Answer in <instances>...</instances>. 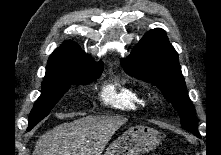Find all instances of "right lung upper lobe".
<instances>
[{
	"instance_id": "1",
	"label": "right lung upper lobe",
	"mask_w": 221,
	"mask_h": 155,
	"mask_svg": "<svg viewBox=\"0 0 221 155\" xmlns=\"http://www.w3.org/2000/svg\"><path fill=\"white\" fill-rule=\"evenodd\" d=\"M101 66H103L101 62H94L76 43L65 42L49 57L46 72L62 73L69 70L97 68Z\"/></svg>"
}]
</instances>
